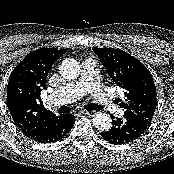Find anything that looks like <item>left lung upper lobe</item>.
Listing matches in <instances>:
<instances>
[{"instance_id":"1","label":"left lung upper lobe","mask_w":174,"mask_h":174,"mask_svg":"<svg viewBox=\"0 0 174 174\" xmlns=\"http://www.w3.org/2000/svg\"><path fill=\"white\" fill-rule=\"evenodd\" d=\"M92 50L113 82L126 91L125 102L119 104L125 109L124 117L149 126L157 105L156 88L149 70L120 49L94 47Z\"/></svg>"}]
</instances>
